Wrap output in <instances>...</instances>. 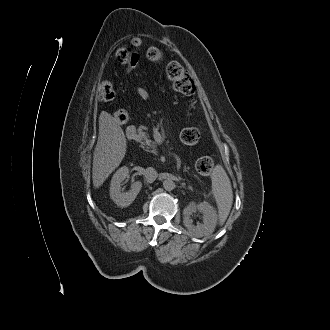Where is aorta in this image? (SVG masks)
<instances>
[{
	"label": "aorta",
	"instance_id": "762f6f07",
	"mask_svg": "<svg viewBox=\"0 0 330 330\" xmlns=\"http://www.w3.org/2000/svg\"><path fill=\"white\" fill-rule=\"evenodd\" d=\"M163 187L166 191H171L175 188V183L172 180L168 179L163 182Z\"/></svg>",
	"mask_w": 330,
	"mask_h": 330
}]
</instances>
